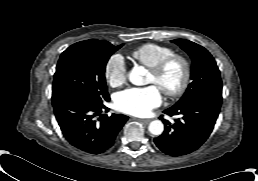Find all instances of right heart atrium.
Here are the masks:
<instances>
[{"label":"right heart atrium","mask_w":258,"mask_h":181,"mask_svg":"<svg viewBox=\"0 0 258 181\" xmlns=\"http://www.w3.org/2000/svg\"><path fill=\"white\" fill-rule=\"evenodd\" d=\"M105 78L111 86H119L125 82L127 67L121 55L115 54L109 58L105 66Z\"/></svg>","instance_id":"d8ad5b80"}]
</instances>
